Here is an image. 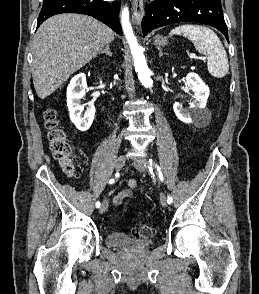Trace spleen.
I'll return each mask as SVG.
<instances>
[{
	"mask_svg": "<svg viewBox=\"0 0 259 294\" xmlns=\"http://www.w3.org/2000/svg\"><path fill=\"white\" fill-rule=\"evenodd\" d=\"M182 35L192 41L195 49L207 56L209 73L216 78L224 77L229 70L226 51L218 36L205 26L185 24L174 28L170 34Z\"/></svg>",
	"mask_w": 259,
	"mask_h": 294,
	"instance_id": "3e777b00",
	"label": "spleen"
}]
</instances>
